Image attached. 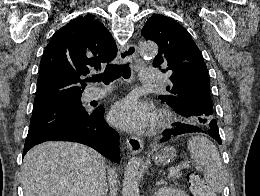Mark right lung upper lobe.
I'll return each mask as SVG.
<instances>
[{
    "mask_svg": "<svg viewBox=\"0 0 260 196\" xmlns=\"http://www.w3.org/2000/svg\"><path fill=\"white\" fill-rule=\"evenodd\" d=\"M117 53L114 40L95 16H79L59 29L40 62L34 105L82 95L83 76L111 62Z\"/></svg>",
    "mask_w": 260,
    "mask_h": 196,
    "instance_id": "cb5924a9",
    "label": "right lung upper lobe"
}]
</instances>
